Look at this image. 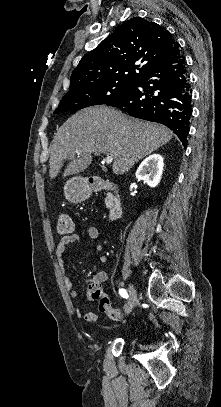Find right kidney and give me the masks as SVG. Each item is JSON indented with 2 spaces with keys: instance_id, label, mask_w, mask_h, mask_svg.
<instances>
[{
  "instance_id": "1",
  "label": "right kidney",
  "mask_w": 221,
  "mask_h": 407,
  "mask_svg": "<svg viewBox=\"0 0 221 407\" xmlns=\"http://www.w3.org/2000/svg\"><path fill=\"white\" fill-rule=\"evenodd\" d=\"M163 165V157L160 154H152L139 165L136 178L150 187H156L161 180Z\"/></svg>"
}]
</instances>
